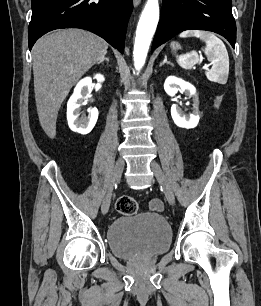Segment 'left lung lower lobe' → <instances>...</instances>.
Returning <instances> with one entry per match:
<instances>
[{"label":"left lung lower lobe","instance_id":"left-lung-lower-lobe-1","mask_svg":"<svg viewBox=\"0 0 261 306\" xmlns=\"http://www.w3.org/2000/svg\"><path fill=\"white\" fill-rule=\"evenodd\" d=\"M191 29L218 33L235 47L236 24L231 0H163L152 50Z\"/></svg>","mask_w":261,"mask_h":306}]
</instances>
